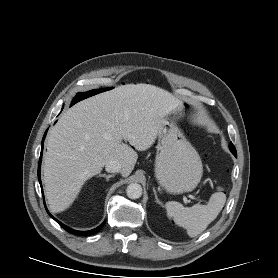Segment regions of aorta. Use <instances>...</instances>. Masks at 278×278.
Segmentation results:
<instances>
[{"label": "aorta", "mask_w": 278, "mask_h": 278, "mask_svg": "<svg viewBox=\"0 0 278 278\" xmlns=\"http://www.w3.org/2000/svg\"><path fill=\"white\" fill-rule=\"evenodd\" d=\"M126 194L130 199H138L142 195V187L140 184L131 183L127 186Z\"/></svg>", "instance_id": "762f6f07"}]
</instances>
